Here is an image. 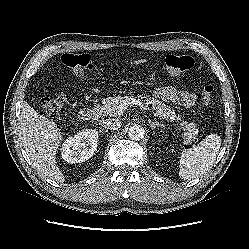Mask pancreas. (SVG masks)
<instances>
[{
  "instance_id": "obj_1",
  "label": "pancreas",
  "mask_w": 249,
  "mask_h": 249,
  "mask_svg": "<svg viewBox=\"0 0 249 249\" xmlns=\"http://www.w3.org/2000/svg\"><path fill=\"white\" fill-rule=\"evenodd\" d=\"M148 104L152 105V109L156 112V114L163 119L177 122L181 121L180 125L184 130L183 140L185 144H190L197 139L198 129L195 123H187L183 121L180 116H177L175 111L172 110L169 106L162 103L161 101L151 98L149 96H145ZM127 99L124 96H116V97H108L102 101L101 106H99V110L106 116H118L120 115L118 105L123 100Z\"/></svg>"
}]
</instances>
